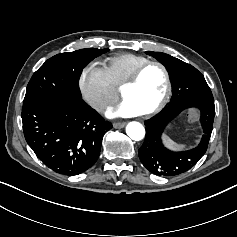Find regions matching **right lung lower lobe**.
I'll use <instances>...</instances> for the list:
<instances>
[{"label":"right lung lower lobe","instance_id":"1","mask_svg":"<svg viewBox=\"0 0 237 237\" xmlns=\"http://www.w3.org/2000/svg\"><path fill=\"white\" fill-rule=\"evenodd\" d=\"M24 136L37 157L53 171L78 175L100 154L105 121L81 97L61 96L22 108Z\"/></svg>","mask_w":237,"mask_h":237}]
</instances>
